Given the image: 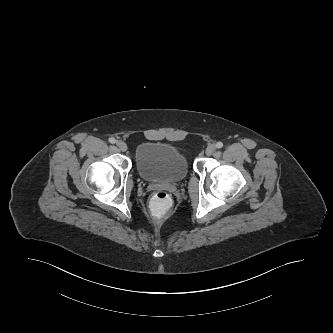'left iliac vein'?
I'll return each mask as SVG.
<instances>
[{"label":"left iliac vein","instance_id":"4c4485c4","mask_svg":"<svg viewBox=\"0 0 333 333\" xmlns=\"http://www.w3.org/2000/svg\"><path fill=\"white\" fill-rule=\"evenodd\" d=\"M216 150V146L214 144H210L207 148H206V154L207 155H212Z\"/></svg>","mask_w":333,"mask_h":333}]
</instances>
